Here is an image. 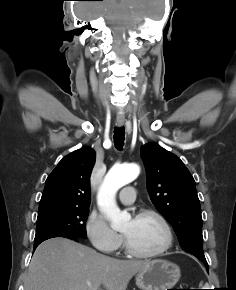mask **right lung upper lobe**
<instances>
[{
    "label": "right lung upper lobe",
    "instance_id": "right-lung-upper-lobe-1",
    "mask_svg": "<svg viewBox=\"0 0 236 290\" xmlns=\"http://www.w3.org/2000/svg\"><path fill=\"white\" fill-rule=\"evenodd\" d=\"M95 151L84 147L65 156L48 176L39 209L52 206L89 207L90 175Z\"/></svg>",
    "mask_w": 236,
    "mask_h": 290
}]
</instances>
